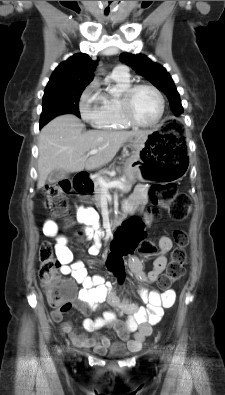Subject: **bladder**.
I'll use <instances>...</instances> for the list:
<instances>
[{
  "label": "bladder",
  "instance_id": "31cf9c89",
  "mask_svg": "<svg viewBox=\"0 0 225 395\" xmlns=\"http://www.w3.org/2000/svg\"><path fill=\"white\" fill-rule=\"evenodd\" d=\"M126 351L124 345L120 342L115 343L113 346H111L109 354L112 356H119L124 354Z\"/></svg>",
  "mask_w": 225,
  "mask_h": 395
}]
</instances>
